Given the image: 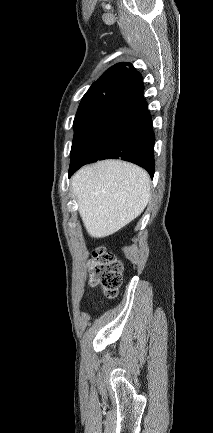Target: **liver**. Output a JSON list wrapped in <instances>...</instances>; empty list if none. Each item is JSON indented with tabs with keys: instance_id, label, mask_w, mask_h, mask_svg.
Wrapping results in <instances>:
<instances>
[{
	"instance_id": "1",
	"label": "liver",
	"mask_w": 213,
	"mask_h": 433,
	"mask_svg": "<svg viewBox=\"0 0 213 433\" xmlns=\"http://www.w3.org/2000/svg\"><path fill=\"white\" fill-rule=\"evenodd\" d=\"M150 185L144 169L119 160L87 165L71 179L79 214L93 238L109 236L137 218L150 200Z\"/></svg>"
}]
</instances>
